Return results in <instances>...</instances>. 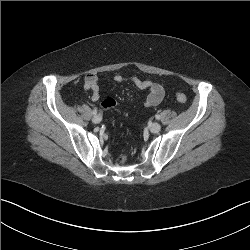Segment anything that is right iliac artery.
<instances>
[{"label": "right iliac artery", "instance_id": "1", "mask_svg": "<svg viewBox=\"0 0 250 250\" xmlns=\"http://www.w3.org/2000/svg\"><path fill=\"white\" fill-rule=\"evenodd\" d=\"M94 115L97 114V109H94L93 112H92Z\"/></svg>", "mask_w": 250, "mask_h": 250}]
</instances>
